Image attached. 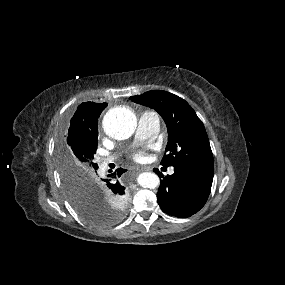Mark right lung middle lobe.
Instances as JSON below:
<instances>
[{"mask_svg": "<svg viewBox=\"0 0 285 285\" xmlns=\"http://www.w3.org/2000/svg\"><path fill=\"white\" fill-rule=\"evenodd\" d=\"M97 141L76 145L71 149L58 144V169L69 202L86 221L96 226H109L125 211L126 200L104 188L96 176L94 162ZM100 191L103 195H100Z\"/></svg>", "mask_w": 285, "mask_h": 285, "instance_id": "obj_1", "label": "right lung middle lobe"}]
</instances>
